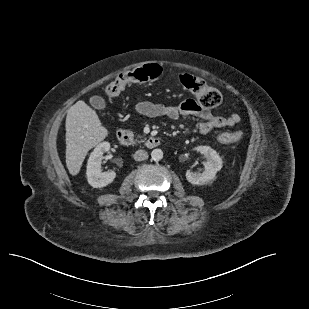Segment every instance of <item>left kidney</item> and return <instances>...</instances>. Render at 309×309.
I'll return each mask as SVG.
<instances>
[{
    "label": "left kidney",
    "mask_w": 309,
    "mask_h": 309,
    "mask_svg": "<svg viewBox=\"0 0 309 309\" xmlns=\"http://www.w3.org/2000/svg\"><path fill=\"white\" fill-rule=\"evenodd\" d=\"M195 149L205 156V169L202 173L187 171L186 178L191 184L201 186L215 178L216 173L221 170L223 162L218 153L209 146H198Z\"/></svg>",
    "instance_id": "left-kidney-1"
}]
</instances>
